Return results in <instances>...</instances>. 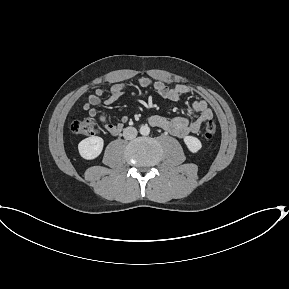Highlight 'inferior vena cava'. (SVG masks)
<instances>
[{
	"instance_id": "obj_1",
	"label": "inferior vena cava",
	"mask_w": 289,
	"mask_h": 289,
	"mask_svg": "<svg viewBox=\"0 0 289 289\" xmlns=\"http://www.w3.org/2000/svg\"><path fill=\"white\" fill-rule=\"evenodd\" d=\"M137 136V129L134 127H127L123 131V137L126 140H132Z\"/></svg>"
}]
</instances>
